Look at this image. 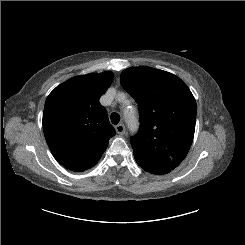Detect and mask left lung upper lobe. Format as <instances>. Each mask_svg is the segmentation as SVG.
I'll list each match as a JSON object with an SVG mask.
<instances>
[{
    "label": "left lung upper lobe",
    "mask_w": 245,
    "mask_h": 245,
    "mask_svg": "<svg viewBox=\"0 0 245 245\" xmlns=\"http://www.w3.org/2000/svg\"><path fill=\"white\" fill-rule=\"evenodd\" d=\"M120 82L139 107L140 130L131 138L137 164L147 172L175 169L194 137L193 94L176 75L146 66L125 69Z\"/></svg>",
    "instance_id": "1"
}]
</instances>
